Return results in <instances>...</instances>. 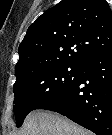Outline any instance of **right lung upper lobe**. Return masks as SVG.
<instances>
[{
    "label": "right lung upper lobe",
    "instance_id": "1",
    "mask_svg": "<svg viewBox=\"0 0 112 135\" xmlns=\"http://www.w3.org/2000/svg\"><path fill=\"white\" fill-rule=\"evenodd\" d=\"M112 49V10L105 0H62L30 25L19 46L16 79L48 63L83 62Z\"/></svg>",
    "mask_w": 112,
    "mask_h": 135
}]
</instances>
